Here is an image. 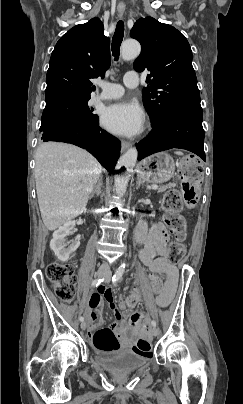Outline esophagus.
Segmentation results:
<instances>
[{
	"instance_id": "1",
	"label": "esophagus",
	"mask_w": 243,
	"mask_h": 404,
	"mask_svg": "<svg viewBox=\"0 0 243 404\" xmlns=\"http://www.w3.org/2000/svg\"><path fill=\"white\" fill-rule=\"evenodd\" d=\"M117 11H118V14H119L120 16H122L123 13H124V11H125V7H124V6H118V7H117ZM130 146H131V143H130V142H126L125 140H123V141L121 142L122 150H126V149H128Z\"/></svg>"
}]
</instances>
